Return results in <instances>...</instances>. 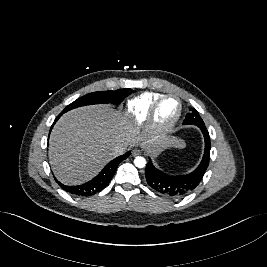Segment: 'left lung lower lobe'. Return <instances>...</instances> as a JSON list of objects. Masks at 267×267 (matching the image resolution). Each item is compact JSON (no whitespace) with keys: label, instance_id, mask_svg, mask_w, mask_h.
<instances>
[{"label":"left lung lower lobe","instance_id":"obj_1","mask_svg":"<svg viewBox=\"0 0 267 267\" xmlns=\"http://www.w3.org/2000/svg\"><path fill=\"white\" fill-rule=\"evenodd\" d=\"M204 135L205 149L199 166L186 175H171L156 168L152 161L146 165L145 176L148 185L156 192L173 198H180L191 193L201 182L210 159V136L206 126L199 127Z\"/></svg>","mask_w":267,"mask_h":267}]
</instances>
